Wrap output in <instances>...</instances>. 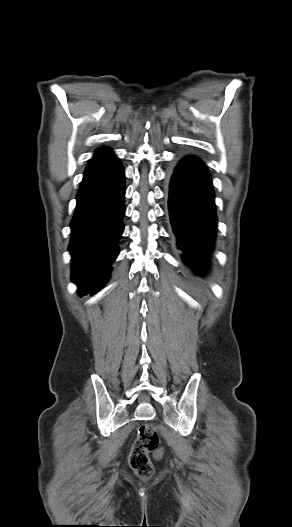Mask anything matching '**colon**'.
<instances>
[{
  "label": "colon",
  "instance_id": "5ec220e1",
  "mask_svg": "<svg viewBox=\"0 0 292 527\" xmlns=\"http://www.w3.org/2000/svg\"><path fill=\"white\" fill-rule=\"evenodd\" d=\"M158 443V434L153 425L140 426L129 457L130 466L140 477L148 478L152 475L153 465L149 453L157 448Z\"/></svg>",
  "mask_w": 292,
  "mask_h": 527
}]
</instances>
